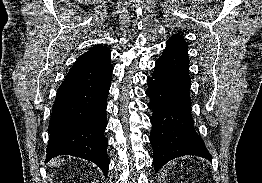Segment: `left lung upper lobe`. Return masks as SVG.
I'll use <instances>...</instances> for the list:
<instances>
[{
    "label": "left lung upper lobe",
    "mask_w": 262,
    "mask_h": 183,
    "mask_svg": "<svg viewBox=\"0 0 262 183\" xmlns=\"http://www.w3.org/2000/svg\"><path fill=\"white\" fill-rule=\"evenodd\" d=\"M166 48H172L183 52L188 51V45L185 40L179 35L175 34L166 43Z\"/></svg>",
    "instance_id": "5c2ea615"
}]
</instances>
